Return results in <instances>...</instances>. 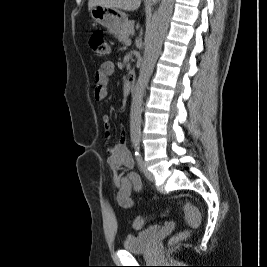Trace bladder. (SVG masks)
Listing matches in <instances>:
<instances>
[{"mask_svg":"<svg viewBox=\"0 0 267 267\" xmlns=\"http://www.w3.org/2000/svg\"><path fill=\"white\" fill-rule=\"evenodd\" d=\"M159 231H160V226L154 225L146 229H143L136 234H130L126 236L123 242V248L126 251L132 253L146 252L152 246Z\"/></svg>","mask_w":267,"mask_h":267,"instance_id":"31cf9c89","label":"bladder"}]
</instances>
